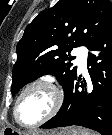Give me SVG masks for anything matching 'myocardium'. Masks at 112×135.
<instances>
[{
	"mask_svg": "<svg viewBox=\"0 0 112 135\" xmlns=\"http://www.w3.org/2000/svg\"><path fill=\"white\" fill-rule=\"evenodd\" d=\"M37 86H46V87L50 88L55 94V103H54V106L51 109V111L45 117H43L42 119H40L34 123H26L21 119L20 114H19L20 101L28 90H30L31 88L37 87ZM63 101H64L63 92L60 90V88L57 85H55L53 82H51L49 80H45V79L36 80V81L30 83L29 85H27L18 95V97L15 101L14 109H13L14 119L19 125H21L23 127H26V128L37 127V126L49 121L50 119H52L59 112V110L63 104Z\"/></svg>",
	"mask_w": 112,
	"mask_h": 135,
	"instance_id": "1",
	"label": "myocardium"
}]
</instances>
